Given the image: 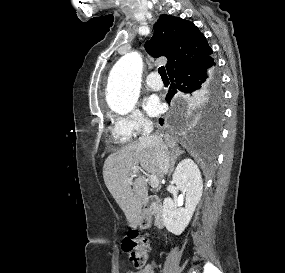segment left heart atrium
Returning <instances> with one entry per match:
<instances>
[{
    "label": "left heart atrium",
    "mask_w": 285,
    "mask_h": 273,
    "mask_svg": "<svg viewBox=\"0 0 285 273\" xmlns=\"http://www.w3.org/2000/svg\"><path fill=\"white\" fill-rule=\"evenodd\" d=\"M144 108L151 116H156L162 111V105L159 99L155 96H151L145 101Z\"/></svg>",
    "instance_id": "obj_1"
}]
</instances>
